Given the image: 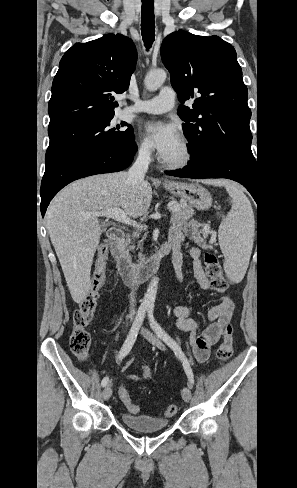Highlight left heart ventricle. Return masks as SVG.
I'll list each match as a JSON object with an SVG mask.
<instances>
[{"label": "left heart ventricle", "mask_w": 297, "mask_h": 488, "mask_svg": "<svg viewBox=\"0 0 297 488\" xmlns=\"http://www.w3.org/2000/svg\"><path fill=\"white\" fill-rule=\"evenodd\" d=\"M183 155V148H182V143L179 140V142L173 147V149L169 152V154L164 158L167 160H177L180 159Z\"/></svg>", "instance_id": "1"}]
</instances>
